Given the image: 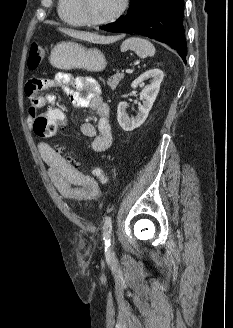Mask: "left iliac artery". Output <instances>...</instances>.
<instances>
[{
    "mask_svg": "<svg viewBox=\"0 0 233 328\" xmlns=\"http://www.w3.org/2000/svg\"><path fill=\"white\" fill-rule=\"evenodd\" d=\"M111 234H112V219L110 216L106 217L103 226V239L105 242V249L109 248L111 245Z\"/></svg>",
    "mask_w": 233,
    "mask_h": 328,
    "instance_id": "obj_1",
    "label": "left iliac artery"
}]
</instances>
